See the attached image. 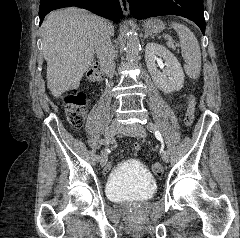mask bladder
Returning a JSON list of instances; mask_svg holds the SVG:
<instances>
[{
	"label": "bladder",
	"mask_w": 240,
	"mask_h": 238,
	"mask_svg": "<svg viewBox=\"0 0 240 238\" xmlns=\"http://www.w3.org/2000/svg\"><path fill=\"white\" fill-rule=\"evenodd\" d=\"M156 188L154 177L135 160H127L118 165L106 183L107 196L116 202L149 200Z\"/></svg>",
	"instance_id": "31cf9c89"
}]
</instances>
